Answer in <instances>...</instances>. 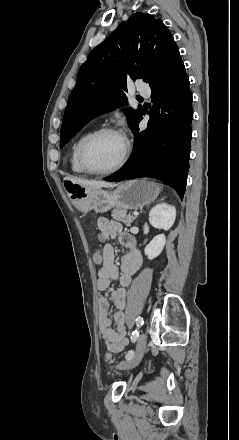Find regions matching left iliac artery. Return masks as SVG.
Segmentation results:
<instances>
[{
  "mask_svg": "<svg viewBox=\"0 0 239 440\" xmlns=\"http://www.w3.org/2000/svg\"><path fill=\"white\" fill-rule=\"evenodd\" d=\"M143 323H144V321H143V318H142V317H138V318L136 319L137 329L134 330V331L132 332V335H131V341H132L133 343L136 342V340H137V338H138V336H139V328L143 325ZM133 356H134V351H133V350H130V351L126 354V360H130V359H132Z\"/></svg>",
  "mask_w": 239,
  "mask_h": 440,
  "instance_id": "obj_1",
  "label": "left iliac artery"
}]
</instances>
